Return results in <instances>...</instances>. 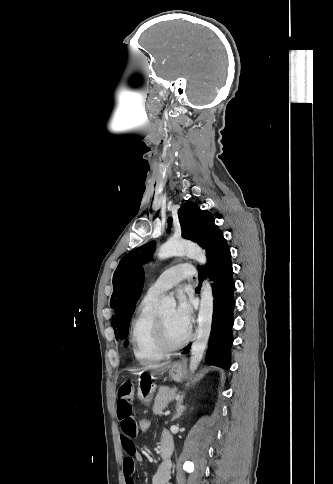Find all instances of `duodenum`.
I'll use <instances>...</instances> for the list:
<instances>
[{
    "label": "duodenum",
    "mask_w": 333,
    "mask_h": 484,
    "mask_svg": "<svg viewBox=\"0 0 333 484\" xmlns=\"http://www.w3.org/2000/svg\"><path fill=\"white\" fill-rule=\"evenodd\" d=\"M173 451V444L172 442H160L159 445V455L161 458V465L165 467H170L171 465V457Z\"/></svg>",
    "instance_id": "obj_1"
}]
</instances>
